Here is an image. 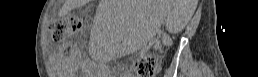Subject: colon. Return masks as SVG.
Here are the masks:
<instances>
[{
	"instance_id": "obj_1",
	"label": "colon",
	"mask_w": 258,
	"mask_h": 77,
	"mask_svg": "<svg viewBox=\"0 0 258 77\" xmlns=\"http://www.w3.org/2000/svg\"><path fill=\"white\" fill-rule=\"evenodd\" d=\"M80 20L77 17H68L64 21H56L51 25V33L54 39H63L67 34L80 28ZM158 68V62L153 55H142L133 62V71L137 77H154Z\"/></svg>"
}]
</instances>
